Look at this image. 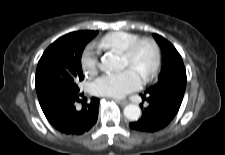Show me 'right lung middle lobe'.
<instances>
[{"label":"right lung middle lobe","instance_id":"dd1d6c3e","mask_svg":"<svg viewBox=\"0 0 225 155\" xmlns=\"http://www.w3.org/2000/svg\"><path fill=\"white\" fill-rule=\"evenodd\" d=\"M90 40L61 37L46 49L36 70L39 103L58 94L79 92L77 82L83 79L81 54Z\"/></svg>","mask_w":225,"mask_h":155}]
</instances>
